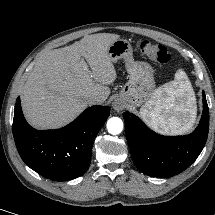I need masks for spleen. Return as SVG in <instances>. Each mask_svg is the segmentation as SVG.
<instances>
[{"mask_svg":"<svg viewBox=\"0 0 215 215\" xmlns=\"http://www.w3.org/2000/svg\"><path fill=\"white\" fill-rule=\"evenodd\" d=\"M143 120L155 131L183 134L190 131L196 118L195 96L183 70H178L173 81L159 87L152 99L140 109Z\"/></svg>","mask_w":215,"mask_h":215,"instance_id":"1","label":"spleen"}]
</instances>
